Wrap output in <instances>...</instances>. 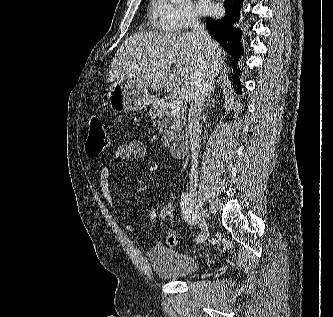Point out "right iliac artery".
I'll use <instances>...</instances> for the list:
<instances>
[{"mask_svg": "<svg viewBox=\"0 0 333 317\" xmlns=\"http://www.w3.org/2000/svg\"><path fill=\"white\" fill-rule=\"evenodd\" d=\"M180 208L184 219L190 223L195 224L197 222V215L194 210L193 202L190 195L184 192L181 196ZM197 242H202L203 238L201 235L197 236Z\"/></svg>", "mask_w": 333, "mask_h": 317, "instance_id": "1", "label": "right iliac artery"}]
</instances>
